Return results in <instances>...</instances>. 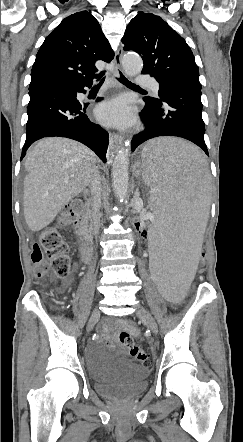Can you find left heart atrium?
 Wrapping results in <instances>:
<instances>
[{"label": "left heart atrium", "mask_w": 243, "mask_h": 442, "mask_svg": "<svg viewBox=\"0 0 243 442\" xmlns=\"http://www.w3.org/2000/svg\"><path fill=\"white\" fill-rule=\"evenodd\" d=\"M96 115L106 125L124 128L134 122L135 109L129 104L127 98L118 96L99 104Z\"/></svg>", "instance_id": "1"}]
</instances>
